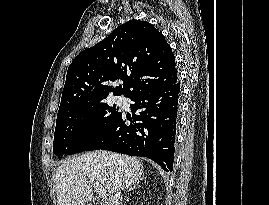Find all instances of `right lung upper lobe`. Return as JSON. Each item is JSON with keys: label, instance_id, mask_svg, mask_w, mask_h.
I'll list each match as a JSON object with an SVG mask.
<instances>
[{"label": "right lung upper lobe", "instance_id": "1", "mask_svg": "<svg viewBox=\"0 0 269 205\" xmlns=\"http://www.w3.org/2000/svg\"><path fill=\"white\" fill-rule=\"evenodd\" d=\"M116 80L123 85H108ZM177 82L175 57L163 34L149 22L133 19L73 60L57 118L104 102L110 92L131 98Z\"/></svg>", "mask_w": 269, "mask_h": 205}]
</instances>
